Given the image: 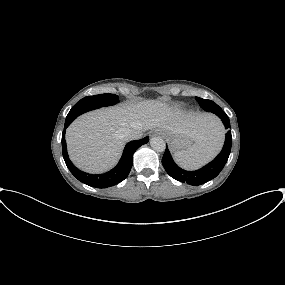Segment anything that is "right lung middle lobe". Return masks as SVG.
<instances>
[{"label": "right lung middle lobe", "mask_w": 285, "mask_h": 285, "mask_svg": "<svg viewBox=\"0 0 285 285\" xmlns=\"http://www.w3.org/2000/svg\"><path fill=\"white\" fill-rule=\"evenodd\" d=\"M118 102V96L115 94H99L87 96L78 101L70 110L66 117L65 123H71L79 115L97 109L103 106L114 105Z\"/></svg>", "instance_id": "obj_1"}]
</instances>
